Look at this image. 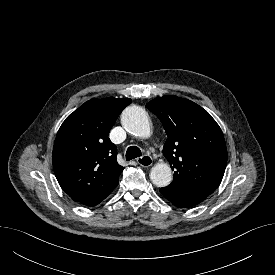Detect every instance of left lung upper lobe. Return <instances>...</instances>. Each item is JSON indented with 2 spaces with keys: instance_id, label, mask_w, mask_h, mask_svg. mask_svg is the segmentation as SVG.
Listing matches in <instances>:
<instances>
[{
  "instance_id": "left-lung-upper-lobe-1",
  "label": "left lung upper lobe",
  "mask_w": 275,
  "mask_h": 275,
  "mask_svg": "<svg viewBox=\"0 0 275 275\" xmlns=\"http://www.w3.org/2000/svg\"><path fill=\"white\" fill-rule=\"evenodd\" d=\"M146 107L160 119L168 136L163 154L174 179L167 188L213 193L227 163L224 136L216 121L196 103L177 96L157 97Z\"/></svg>"
}]
</instances>
